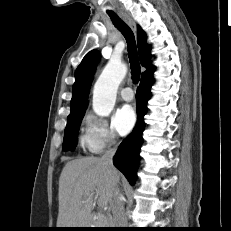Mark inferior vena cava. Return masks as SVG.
Here are the masks:
<instances>
[{"instance_id": "inferior-vena-cava-1", "label": "inferior vena cava", "mask_w": 231, "mask_h": 231, "mask_svg": "<svg viewBox=\"0 0 231 231\" xmlns=\"http://www.w3.org/2000/svg\"><path fill=\"white\" fill-rule=\"evenodd\" d=\"M116 147L108 150L101 158L110 171H114L113 157L116 153ZM113 221L115 228H125L127 225V217L124 210L123 198L118 188V184L115 183L114 188V208H113Z\"/></svg>"}]
</instances>
